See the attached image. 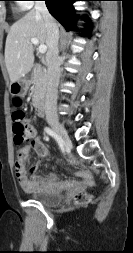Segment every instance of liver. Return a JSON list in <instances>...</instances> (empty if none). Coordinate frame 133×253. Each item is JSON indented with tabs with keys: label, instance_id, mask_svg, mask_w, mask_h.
Returning <instances> with one entry per match:
<instances>
[{
	"label": "liver",
	"instance_id": "6515ba94",
	"mask_svg": "<svg viewBox=\"0 0 133 253\" xmlns=\"http://www.w3.org/2000/svg\"><path fill=\"white\" fill-rule=\"evenodd\" d=\"M31 38L47 44V30L40 13L31 10L14 23L7 35L5 64L11 83L18 81L33 67L34 46Z\"/></svg>",
	"mask_w": 133,
	"mask_h": 253
}]
</instances>
